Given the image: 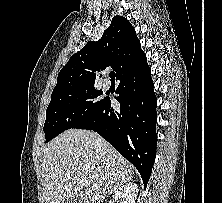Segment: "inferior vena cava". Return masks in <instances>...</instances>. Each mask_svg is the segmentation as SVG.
Segmentation results:
<instances>
[{"label":"inferior vena cava","mask_w":222,"mask_h":203,"mask_svg":"<svg viewBox=\"0 0 222 203\" xmlns=\"http://www.w3.org/2000/svg\"><path fill=\"white\" fill-rule=\"evenodd\" d=\"M98 142L102 143V138L98 136Z\"/></svg>","instance_id":"1"}]
</instances>
